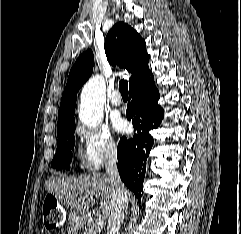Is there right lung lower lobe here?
Instances as JSON below:
<instances>
[{
	"mask_svg": "<svg viewBox=\"0 0 241 234\" xmlns=\"http://www.w3.org/2000/svg\"><path fill=\"white\" fill-rule=\"evenodd\" d=\"M159 97L151 72L129 88L126 117L132 120L136 133L133 138L120 139L117 158L120 177L138 201L141 200L146 161L154 142L149 130L157 128L163 118V109L157 104Z\"/></svg>",
	"mask_w": 241,
	"mask_h": 234,
	"instance_id": "right-lung-lower-lobe-1",
	"label": "right lung lower lobe"
}]
</instances>
